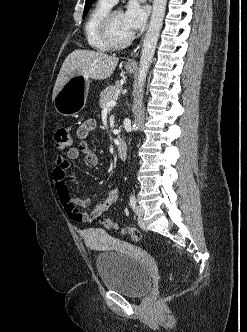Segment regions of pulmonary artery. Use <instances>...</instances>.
<instances>
[{
    "label": "pulmonary artery",
    "instance_id": "1",
    "mask_svg": "<svg viewBox=\"0 0 247 332\" xmlns=\"http://www.w3.org/2000/svg\"><path fill=\"white\" fill-rule=\"evenodd\" d=\"M105 1H107L111 5H114L115 3H117L118 0H105Z\"/></svg>",
    "mask_w": 247,
    "mask_h": 332
}]
</instances>
